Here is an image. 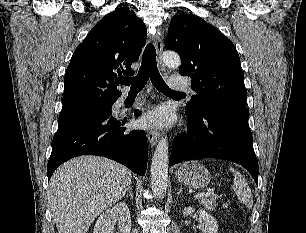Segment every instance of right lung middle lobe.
Segmentation results:
<instances>
[{
	"instance_id": "dd1d6c3e",
	"label": "right lung middle lobe",
	"mask_w": 306,
	"mask_h": 233,
	"mask_svg": "<svg viewBox=\"0 0 306 233\" xmlns=\"http://www.w3.org/2000/svg\"><path fill=\"white\" fill-rule=\"evenodd\" d=\"M114 101L104 102L96 100H85L63 105L59 116V123H63L83 115L111 111Z\"/></svg>"
}]
</instances>
